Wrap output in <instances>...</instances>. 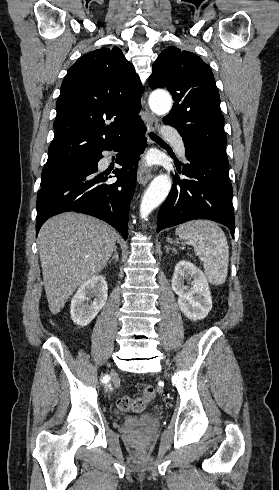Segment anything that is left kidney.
<instances>
[{"label": "left kidney", "instance_id": "obj_1", "mask_svg": "<svg viewBox=\"0 0 279 490\" xmlns=\"http://www.w3.org/2000/svg\"><path fill=\"white\" fill-rule=\"evenodd\" d=\"M191 282L192 286H184V282ZM172 290L178 296V306L189 320H204L212 310V298L209 284L200 268L191 262L181 260L175 266L172 278Z\"/></svg>", "mask_w": 279, "mask_h": 490}]
</instances>
